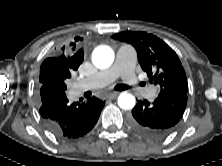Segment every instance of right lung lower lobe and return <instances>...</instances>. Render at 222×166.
<instances>
[{"mask_svg": "<svg viewBox=\"0 0 222 166\" xmlns=\"http://www.w3.org/2000/svg\"><path fill=\"white\" fill-rule=\"evenodd\" d=\"M38 93L40 114L46 128L61 139H75L96 124L104 101L96 97L69 104L65 89L51 83L41 84Z\"/></svg>", "mask_w": 222, "mask_h": 166, "instance_id": "1", "label": "right lung lower lobe"}]
</instances>
